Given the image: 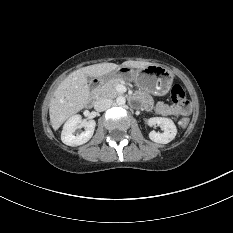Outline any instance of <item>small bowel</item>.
I'll return each instance as SVG.
<instances>
[{"instance_id":"small-bowel-1","label":"small bowel","mask_w":233,"mask_h":233,"mask_svg":"<svg viewBox=\"0 0 233 233\" xmlns=\"http://www.w3.org/2000/svg\"><path fill=\"white\" fill-rule=\"evenodd\" d=\"M138 99L143 103L145 108H151L152 103L144 94H139ZM155 111L163 116L182 117L189 113L190 106L188 103L185 106H170L165 103H158L155 106Z\"/></svg>"}]
</instances>
